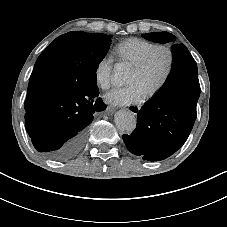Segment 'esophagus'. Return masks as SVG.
<instances>
[{
	"label": "esophagus",
	"mask_w": 227,
	"mask_h": 227,
	"mask_svg": "<svg viewBox=\"0 0 227 227\" xmlns=\"http://www.w3.org/2000/svg\"><path fill=\"white\" fill-rule=\"evenodd\" d=\"M124 109L129 110L131 113L136 115L140 111V106L124 104ZM111 112H113V110Z\"/></svg>",
	"instance_id": "esophagus-1"
}]
</instances>
